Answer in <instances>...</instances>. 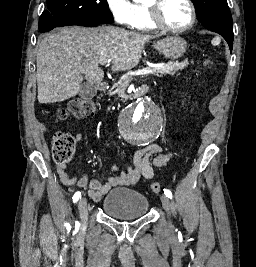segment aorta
I'll return each mask as SVG.
<instances>
[{
    "instance_id": "1",
    "label": "aorta",
    "mask_w": 256,
    "mask_h": 267,
    "mask_svg": "<svg viewBox=\"0 0 256 267\" xmlns=\"http://www.w3.org/2000/svg\"><path fill=\"white\" fill-rule=\"evenodd\" d=\"M151 95H144L142 101H132L131 108H126L125 117H118L120 127H160L163 117L161 108H156ZM128 143H157L160 128H121Z\"/></svg>"
}]
</instances>
